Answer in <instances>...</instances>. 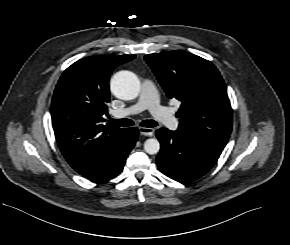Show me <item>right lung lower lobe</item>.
I'll list each match as a JSON object with an SVG mask.
<instances>
[{
    "label": "right lung lower lobe",
    "mask_w": 290,
    "mask_h": 245,
    "mask_svg": "<svg viewBox=\"0 0 290 245\" xmlns=\"http://www.w3.org/2000/svg\"><path fill=\"white\" fill-rule=\"evenodd\" d=\"M138 135L139 131L137 128H127V144L124 149H122L106 166L84 177L93 181H105L118 175L122 171L125 160L133 149Z\"/></svg>",
    "instance_id": "right-lung-lower-lobe-1"
}]
</instances>
